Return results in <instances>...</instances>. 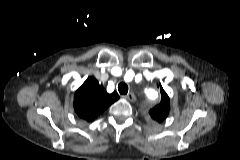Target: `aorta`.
<instances>
[{"label": "aorta", "instance_id": "762f6f07", "mask_svg": "<svg viewBox=\"0 0 240 160\" xmlns=\"http://www.w3.org/2000/svg\"><path fill=\"white\" fill-rule=\"evenodd\" d=\"M144 96L147 99V101L149 102V104H151V105H154L158 100L157 92L150 88H146L144 90Z\"/></svg>", "mask_w": 240, "mask_h": 160}]
</instances>
